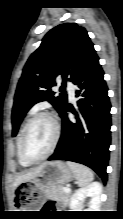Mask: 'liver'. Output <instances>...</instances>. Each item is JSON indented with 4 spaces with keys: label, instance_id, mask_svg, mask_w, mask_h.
Instances as JSON below:
<instances>
[{
    "label": "liver",
    "instance_id": "1",
    "mask_svg": "<svg viewBox=\"0 0 123 219\" xmlns=\"http://www.w3.org/2000/svg\"><path fill=\"white\" fill-rule=\"evenodd\" d=\"M46 163L36 167V168H32L29 171L17 176V178L15 179L14 183H13V191L22 183L34 178L45 166Z\"/></svg>",
    "mask_w": 123,
    "mask_h": 219
}]
</instances>
